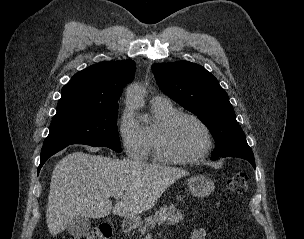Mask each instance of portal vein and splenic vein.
Segmentation results:
<instances>
[{"instance_id": "obj_1", "label": "portal vein and splenic vein", "mask_w": 304, "mask_h": 239, "mask_svg": "<svg viewBox=\"0 0 304 239\" xmlns=\"http://www.w3.org/2000/svg\"><path fill=\"white\" fill-rule=\"evenodd\" d=\"M122 196H123L122 193H116V194L113 195V197H114L117 201H119V200L122 198Z\"/></svg>"}]
</instances>
